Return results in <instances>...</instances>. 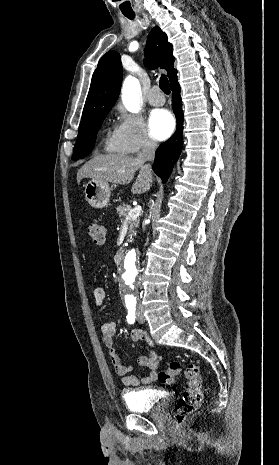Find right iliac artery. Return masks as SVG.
I'll return each mask as SVG.
<instances>
[{
    "mask_svg": "<svg viewBox=\"0 0 279 465\" xmlns=\"http://www.w3.org/2000/svg\"><path fill=\"white\" fill-rule=\"evenodd\" d=\"M128 315H127V321L130 324H133L136 319V308L134 306H128Z\"/></svg>",
    "mask_w": 279,
    "mask_h": 465,
    "instance_id": "obj_1",
    "label": "right iliac artery"
}]
</instances>
